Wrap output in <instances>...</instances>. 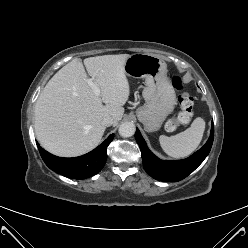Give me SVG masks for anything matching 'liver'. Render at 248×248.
I'll use <instances>...</instances> for the list:
<instances>
[{
    "label": "liver",
    "instance_id": "6515ba94",
    "mask_svg": "<svg viewBox=\"0 0 248 248\" xmlns=\"http://www.w3.org/2000/svg\"><path fill=\"white\" fill-rule=\"evenodd\" d=\"M128 54L75 58L46 84L35 104V134L41 146L62 157H74L94 149L106 127L101 121L111 116L122 119L130 94L124 71ZM87 75L99 87L94 94ZM102 103H105L103 105Z\"/></svg>",
    "mask_w": 248,
    "mask_h": 248
}]
</instances>
